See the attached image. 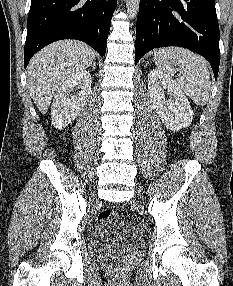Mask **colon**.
Returning a JSON list of instances; mask_svg holds the SVG:
<instances>
[{"mask_svg": "<svg viewBox=\"0 0 233 286\" xmlns=\"http://www.w3.org/2000/svg\"><path fill=\"white\" fill-rule=\"evenodd\" d=\"M99 220L107 221V220H117L119 219V213L114 209L106 208L99 213ZM113 262H116L115 258H112Z\"/></svg>", "mask_w": 233, "mask_h": 286, "instance_id": "1", "label": "colon"}]
</instances>
